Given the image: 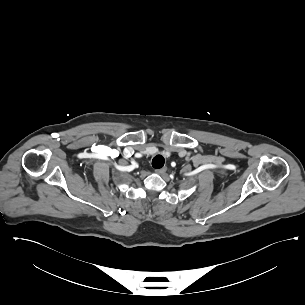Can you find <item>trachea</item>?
Listing matches in <instances>:
<instances>
[{"mask_svg": "<svg viewBox=\"0 0 305 305\" xmlns=\"http://www.w3.org/2000/svg\"><path fill=\"white\" fill-rule=\"evenodd\" d=\"M165 159L162 155H156L152 160V166L155 169L162 168L164 166Z\"/></svg>", "mask_w": 305, "mask_h": 305, "instance_id": "3493384b", "label": "trachea"}]
</instances>
